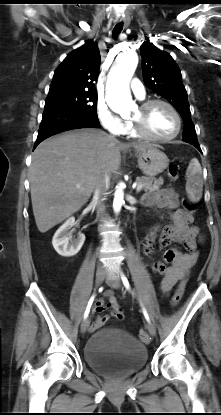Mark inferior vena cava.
<instances>
[{"mask_svg": "<svg viewBox=\"0 0 221 415\" xmlns=\"http://www.w3.org/2000/svg\"><path fill=\"white\" fill-rule=\"evenodd\" d=\"M110 182V177L107 173L102 175L97 181L94 189V200L97 202V217L103 218L104 216V205L103 198L106 195L107 186Z\"/></svg>", "mask_w": 221, "mask_h": 415, "instance_id": "obj_1", "label": "inferior vena cava"}]
</instances>
